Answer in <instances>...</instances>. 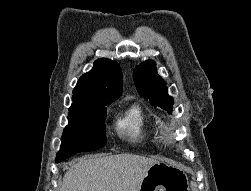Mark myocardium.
<instances>
[{"label": "myocardium", "mask_w": 251, "mask_h": 191, "mask_svg": "<svg viewBox=\"0 0 251 191\" xmlns=\"http://www.w3.org/2000/svg\"><path fill=\"white\" fill-rule=\"evenodd\" d=\"M161 142L163 146H167L170 143V140L172 138V135L166 132H163L161 134Z\"/></svg>", "instance_id": "f54148a6"}]
</instances>
